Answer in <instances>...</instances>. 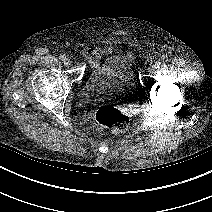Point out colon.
I'll return each mask as SVG.
<instances>
[{"label":"colon","instance_id":"obj_1","mask_svg":"<svg viewBox=\"0 0 212 212\" xmlns=\"http://www.w3.org/2000/svg\"><path fill=\"white\" fill-rule=\"evenodd\" d=\"M98 125L112 133H120L127 129L130 119L124 112L113 108L104 107L97 111L95 115Z\"/></svg>","mask_w":212,"mask_h":212}]
</instances>
